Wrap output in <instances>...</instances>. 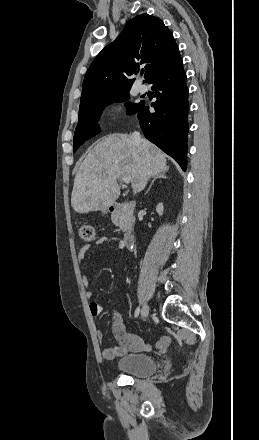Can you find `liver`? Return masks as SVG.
<instances>
[{"label": "liver", "instance_id": "1", "mask_svg": "<svg viewBox=\"0 0 259 440\" xmlns=\"http://www.w3.org/2000/svg\"><path fill=\"white\" fill-rule=\"evenodd\" d=\"M166 155L153 143L132 135L101 138L81 163L74 179L71 205L77 213L106 210L120 195L117 180L130 175L134 193L141 192L150 177L167 171Z\"/></svg>", "mask_w": 259, "mask_h": 440}]
</instances>
